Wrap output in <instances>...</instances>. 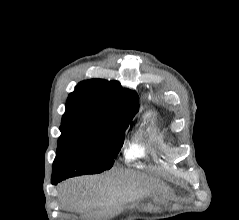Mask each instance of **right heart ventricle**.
Instances as JSON below:
<instances>
[{
	"label": "right heart ventricle",
	"mask_w": 239,
	"mask_h": 220,
	"mask_svg": "<svg viewBox=\"0 0 239 220\" xmlns=\"http://www.w3.org/2000/svg\"><path fill=\"white\" fill-rule=\"evenodd\" d=\"M143 124H150L152 126L153 131L156 134H159V129L157 128L156 124H155V117L153 115V113H147L144 117H143ZM157 144V141L155 138H152L150 140L149 145L155 146ZM148 144H145L143 142L140 141H136L134 143H132L131 145H129L124 152V157L125 160L127 162H131V161H136L139 159L144 158L145 156L148 155Z\"/></svg>",
	"instance_id": "obj_1"
}]
</instances>
